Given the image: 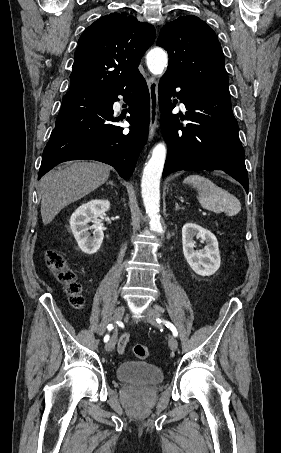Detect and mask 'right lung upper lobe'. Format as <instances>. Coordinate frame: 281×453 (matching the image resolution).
<instances>
[{"label": "right lung upper lobe", "instance_id": "obj_1", "mask_svg": "<svg viewBox=\"0 0 281 453\" xmlns=\"http://www.w3.org/2000/svg\"><path fill=\"white\" fill-rule=\"evenodd\" d=\"M155 29L126 13H111L92 23L81 35L70 75V91L114 90L138 73Z\"/></svg>", "mask_w": 281, "mask_h": 453}]
</instances>
